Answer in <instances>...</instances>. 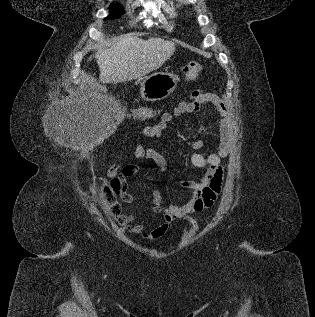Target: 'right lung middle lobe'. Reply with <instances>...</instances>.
I'll return each mask as SVG.
<instances>
[{"label": "right lung middle lobe", "instance_id": "right-lung-middle-lobe-1", "mask_svg": "<svg viewBox=\"0 0 315 317\" xmlns=\"http://www.w3.org/2000/svg\"><path fill=\"white\" fill-rule=\"evenodd\" d=\"M125 12L123 8L119 4H111L110 5V15L105 19H116L123 15Z\"/></svg>", "mask_w": 315, "mask_h": 317}]
</instances>
